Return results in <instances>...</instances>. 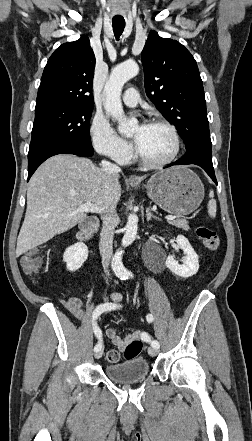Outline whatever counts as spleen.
<instances>
[{"instance_id": "1", "label": "spleen", "mask_w": 252, "mask_h": 441, "mask_svg": "<svg viewBox=\"0 0 252 441\" xmlns=\"http://www.w3.org/2000/svg\"><path fill=\"white\" fill-rule=\"evenodd\" d=\"M209 197L211 198L208 202V214L214 218L216 216V201L214 199V192L210 190Z\"/></svg>"}]
</instances>
